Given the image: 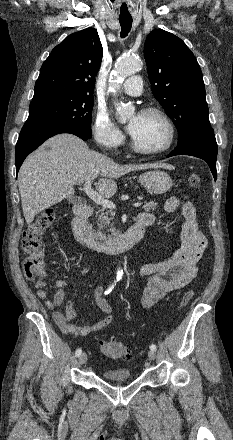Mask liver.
Returning <instances> with one entry per match:
<instances>
[{"label":"liver","mask_w":233,"mask_h":440,"mask_svg":"<svg viewBox=\"0 0 233 440\" xmlns=\"http://www.w3.org/2000/svg\"><path fill=\"white\" fill-rule=\"evenodd\" d=\"M161 167L171 168L163 163L120 165L90 150L73 134L55 135L26 158L18 173L26 223L31 224L40 212L71 198L76 183L92 181L100 175L102 178L95 183L97 191L111 197L117 190L114 179L131 171Z\"/></svg>","instance_id":"6515ba94"}]
</instances>
